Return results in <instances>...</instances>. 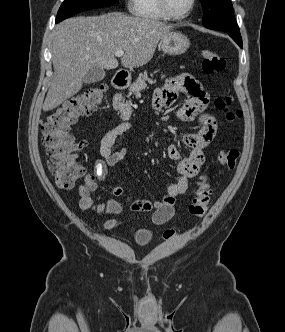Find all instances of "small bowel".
<instances>
[{"mask_svg": "<svg viewBox=\"0 0 285 332\" xmlns=\"http://www.w3.org/2000/svg\"><path fill=\"white\" fill-rule=\"evenodd\" d=\"M183 93L187 99L183 106L177 111L176 117L179 121L190 122L199 120L200 128L194 133H184L181 136L182 144L188 149V155L181 157L176 145L167 147V155L171 160L177 161L179 174L176 182L169 185L166 196L161 200H136L131 195L124 197V202L108 200L97 202L96 191L98 183L104 182L115 197H122V187L113 185L108 180L109 168L122 161L128 149L122 147L113 151L117 139L132 128L131 122L124 121L105 133L100 142L99 158L95 163L93 173L85 176L84 181L79 185L80 201L79 206L85 211H95L105 214H118L123 206L135 212L152 211V222L161 225L174 216V204L178 196L185 194L189 188V179L194 177L201 165L204 163V149L213 141L217 133V121L214 116L206 113L209 105V94L202 84L192 75L183 73L170 78L165 85L158 89L153 97V107L157 110L171 106L177 95ZM109 226L118 225L116 220H110Z\"/></svg>", "mask_w": 285, "mask_h": 332, "instance_id": "obj_1", "label": "small bowel"}]
</instances>
